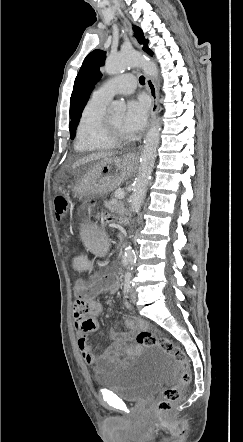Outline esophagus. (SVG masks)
Segmentation results:
<instances>
[{
	"label": "esophagus",
	"mask_w": 243,
	"mask_h": 442,
	"mask_svg": "<svg viewBox=\"0 0 243 442\" xmlns=\"http://www.w3.org/2000/svg\"><path fill=\"white\" fill-rule=\"evenodd\" d=\"M119 14H120V17H121L125 27L130 31L131 40L138 48H140V45H139L137 39L135 38V36L131 32V25H130L129 21L127 20V18L125 17V15L123 14V12L121 10H119ZM146 85H147V89L149 91V95H150L151 101H152L149 123H148V127H149L155 118L157 108H158V103H157V91H156L155 84H154L153 80L148 76L146 77ZM138 158H139V152H134L129 155L130 161H136Z\"/></svg>",
	"instance_id": "1"
}]
</instances>
